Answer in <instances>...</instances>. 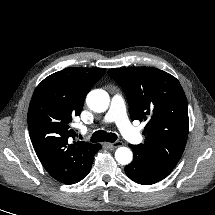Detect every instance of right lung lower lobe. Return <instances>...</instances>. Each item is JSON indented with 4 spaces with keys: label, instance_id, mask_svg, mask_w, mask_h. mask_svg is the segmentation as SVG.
I'll return each mask as SVG.
<instances>
[{
    "label": "right lung lower lobe",
    "instance_id": "98d812e1",
    "mask_svg": "<svg viewBox=\"0 0 215 215\" xmlns=\"http://www.w3.org/2000/svg\"><path fill=\"white\" fill-rule=\"evenodd\" d=\"M99 149H101V145H100V144L97 145L96 152H97ZM91 165H92V164H91ZM90 169H91V167H90ZM90 169L87 171V173L85 174V176L89 173ZM85 176H84V177H85Z\"/></svg>",
    "mask_w": 215,
    "mask_h": 215
}]
</instances>
